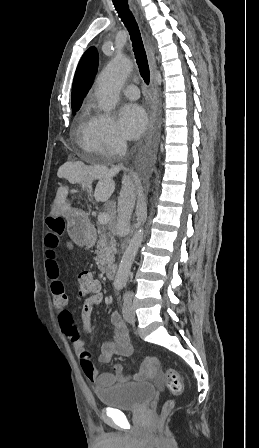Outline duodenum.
<instances>
[{"label": "duodenum", "mask_w": 259, "mask_h": 448, "mask_svg": "<svg viewBox=\"0 0 259 448\" xmlns=\"http://www.w3.org/2000/svg\"><path fill=\"white\" fill-rule=\"evenodd\" d=\"M94 235H95V230L91 229L90 230V238L92 239ZM117 269H118L117 264H114V263L108 264L104 268V274L108 279L113 280L116 277Z\"/></svg>", "instance_id": "410a0bca"}]
</instances>
